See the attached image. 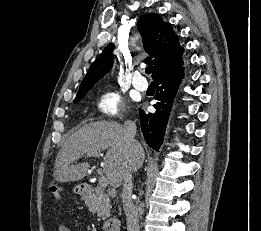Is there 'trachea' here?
Listing matches in <instances>:
<instances>
[{
    "mask_svg": "<svg viewBox=\"0 0 261 231\" xmlns=\"http://www.w3.org/2000/svg\"><path fill=\"white\" fill-rule=\"evenodd\" d=\"M151 72H152L151 67H147V68L145 69V73H146V74H150Z\"/></svg>",
    "mask_w": 261,
    "mask_h": 231,
    "instance_id": "obj_1",
    "label": "trachea"
}]
</instances>
